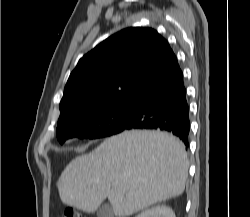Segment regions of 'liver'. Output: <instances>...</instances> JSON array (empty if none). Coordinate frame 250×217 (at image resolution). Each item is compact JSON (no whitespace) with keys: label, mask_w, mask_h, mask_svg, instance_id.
Returning <instances> with one entry per match:
<instances>
[{"label":"liver","mask_w":250,"mask_h":217,"mask_svg":"<svg viewBox=\"0 0 250 217\" xmlns=\"http://www.w3.org/2000/svg\"><path fill=\"white\" fill-rule=\"evenodd\" d=\"M188 168L185 147L172 135L125 131L73 159L57 187L66 205L94 213L108 198L113 213L125 217L181 195Z\"/></svg>","instance_id":"liver-1"}]
</instances>
